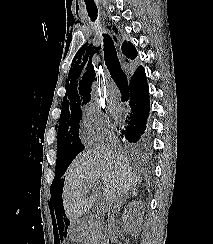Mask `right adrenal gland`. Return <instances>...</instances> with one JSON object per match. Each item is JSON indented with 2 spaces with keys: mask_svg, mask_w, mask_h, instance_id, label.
Listing matches in <instances>:
<instances>
[{
  "mask_svg": "<svg viewBox=\"0 0 213 244\" xmlns=\"http://www.w3.org/2000/svg\"><path fill=\"white\" fill-rule=\"evenodd\" d=\"M137 190H136V188L134 187V188H132L130 191H129V193L125 196V199L123 200V201H121V203H120V206L122 205V203L124 202V201H126V199H128L129 197H134V196H137Z\"/></svg>",
  "mask_w": 213,
  "mask_h": 244,
  "instance_id": "right-adrenal-gland-1",
  "label": "right adrenal gland"
}]
</instances>
